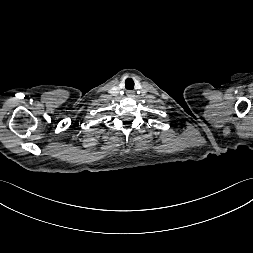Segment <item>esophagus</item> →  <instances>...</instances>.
<instances>
[{
  "instance_id": "obj_1",
  "label": "esophagus",
  "mask_w": 253,
  "mask_h": 253,
  "mask_svg": "<svg viewBox=\"0 0 253 253\" xmlns=\"http://www.w3.org/2000/svg\"><path fill=\"white\" fill-rule=\"evenodd\" d=\"M127 96L128 97H133L134 96V92L132 90H128L127 91Z\"/></svg>"
}]
</instances>
